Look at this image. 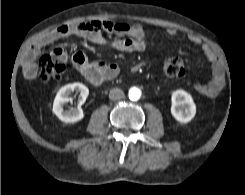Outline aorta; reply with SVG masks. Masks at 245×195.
<instances>
[{"label": "aorta", "instance_id": "obj_1", "mask_svg": "<svg viewBox=\"0 0 245 195\" xmlns=\"http://www.w3.org/2000/svg\"><path fill=\"white\" fill-rule=\"evenodd\" d=\"M128 96H129L130 100L136 101V100L140 99L141 91L137 87H132V88H130V90L128 92Z\"/></svg>", "mask_w": 245, "mask_h": 195}]
</instances>
